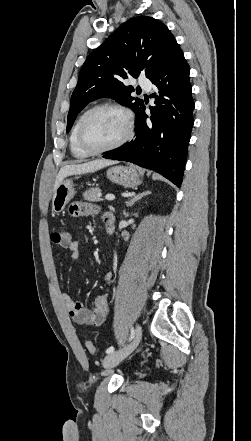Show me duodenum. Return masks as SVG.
<instances>
[{
  "label": "duodenum",
  "instance_id": "duodenum-1",
  "mask_svg": "<svg viewBox=\"0 0 251 441\" xmlns=\"http://www.w3.org/2000/svg\"><path fill=\"white\" fill-rule=\"evenodd\" d=\"M105 231L108 235H112L115 231V221L113 218L107 219L105 222Z\"/></svg>",
  "mask_w": 251,
  "mask_h": 441
}]
</instances>
